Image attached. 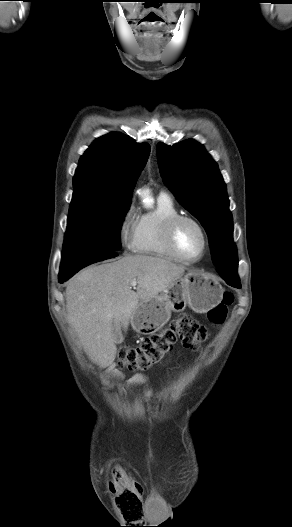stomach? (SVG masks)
<instances>
[{"label":"stomach","mask_w":292,"mask_h":527,"mask_svg":"<svg viewBox=\"0 0 292 527\" xmlns=\"http://www.w3.org/2000/svg\"><path fill=\"white\" fill-rule=\"evenodd\" d=\"M223 292L213 277L189 272L156 297L140 302L131 317L132 328L153 334L169 321L172 311L182 312L188 306L196 313H206L222 301Z\"/></svg>","instance_id":"obj_1"}]
</instances>
